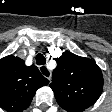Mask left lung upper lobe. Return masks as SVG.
I'll use <instances>...</instances> for the list:
<instances>
[{
  "instance_id": "5c2ea615",
  "label": "left lung upper lobe",
  "mask_w": 112,
  "mask_h": 112,
  "mask_svg": "<svg viewBox=\"0 0 112 112\" xmlns=\"http://www.w3.org/2000/svg\"><path fill=\"white\" fill-rule=\"evenodd\" d=\"M55 60L50 87L57 103L67 112H82L93 105L103 89V75L97 64L69 51Z\"/></svg>"
}]
</instances>
